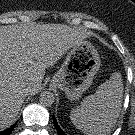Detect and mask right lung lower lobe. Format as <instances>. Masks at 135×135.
I'll use <instances>...</instances> for the list:
<instances>
[{
  "mask_svg": "<svg viewBox=\"0 0 135 135\" xmlns=\"http://www.w3.org/2000/svg\"><path fill=\"white\" fill-rule=\"evenodd\" d=\"M15 125H16V123L12 127L0 132V135H9L12 132V130L14 129Z\"/></svg>",
  "mask_w": 135,
  "mask_h": 135,
  "instance_id": "1",
  "label": "right lung lower lobe"
}]
</instances>
